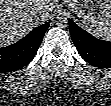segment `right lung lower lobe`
<instances>
[{
	"mask_svg": "<svg viewBox=\"0 0 111 106\" xmlns=\"http://www.w3.org/2000/svg\"><path fill=\"white\" fill-rule=\"evenodd\" d=\"M49 27V23H45L32 30L28 35L18 42L0 48V72H11L18 70L34 58L44 33Z\"/></svg>",
	"mask_w": 111,
	"mask_h": 106,
	"instance_id": "98d812e1",
	"label": "right lung lower lobe"
}]
</instances>
